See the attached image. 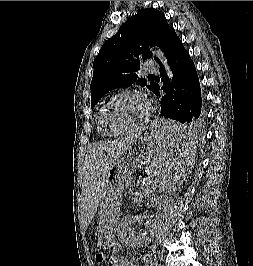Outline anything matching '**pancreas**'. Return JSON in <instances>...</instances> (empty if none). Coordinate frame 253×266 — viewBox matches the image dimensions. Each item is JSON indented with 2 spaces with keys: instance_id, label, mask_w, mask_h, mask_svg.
Masks as SVG:
<instances>
[{
  "instance_id": "cf45deb5",
  "label": "pancreas",
  "mask_w": 253,
  "mask_h": 266,
  "mask_svg": "<svg viewBox=\"0 0 253 266\" xmlns=\"http://www.w3.org/2000/svg\"><path fill=\"white\" fill-rule=\"evenodd\" d=\"M129 180H127L126 181V187H128V185H129ZM149 185H151V186H153V185H155L154 184V181L152 180V178L150 177L149 178ZM129 193H130V195L132 196V198L131 197H129V198H131L134 202H138V201H140V200H142V199H144L145 197H146V194H143V192H141V191H133V190H129ZM140 194H142V197H140Z\"/></svg>"
}]
</instances>
